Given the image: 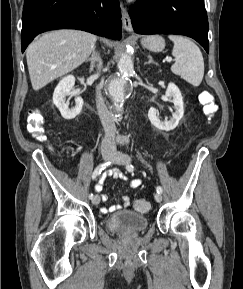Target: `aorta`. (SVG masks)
<instances>
[{"label":"aorta","instance_id":"762f6f07","mask_svg":"<svg viewBox=\"0 0 243 289\" xmlns=\"http://www.w3.org/2000/svg\"><path fill=\"white\" fill-rule=\"evenodd\" d=\"M134 73V65L129 52H125L118 62V75L108 85L109 94L118 112L122 111L125 99V91L129 78Z\"/></svg>","mask_w":243,"mask_h":289}]
</instances>
